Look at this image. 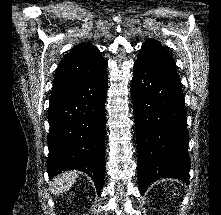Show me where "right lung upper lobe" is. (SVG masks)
Instances as JSON below:
<instances>
[{
    "label": "right lung upper lobe",
    "instance_id": "cb5924a9",
    "mask_svg": "<svg viewBox=\"0 0 221 215\" xmlns=\"http://www.w3.org/2000/svg\"><path fill=\"white\" fill-rule=\"evenodd\" d=\"M107 62L90 43L79 44L64 56L54 77L52 94L68 90L106 70Z\"/></svg>",
    "mask_w": 221,
    "mask_h": 215
}]
</instances>
